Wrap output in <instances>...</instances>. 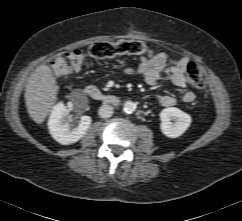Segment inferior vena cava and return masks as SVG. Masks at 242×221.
<instances>
[{"instance_id":"inferior-vena-cava-1","label":"inferior vena cava","mask_w":242,"mask_h":221,"mask_svg":"<svg viewBox=\"0 0 242 221\" xmlns=\"http://www.w3.org/2000/svg\"><path fill=\"white\" fill-rule=\"evenodd\" d=\"M98 114L101 118H109L113 115V107L110 105H102L99 108Z\"/></svg>"}]
</instances>
